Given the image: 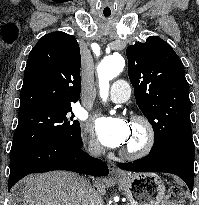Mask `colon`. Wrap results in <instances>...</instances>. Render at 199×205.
<instances>
[{
    "mask_svg": "<svg viewBox=\"0 0 199 205\" xmlns=\"http://www.w3.org/2000/svg\"><path fill=\"white\" fill-rule=\"evenodd\" d=\"M183 193L179 187H171L166 195L164 205H182Z\"/></svg>",
    "mask_w": 199,
    "mask_h": 205,
    "instance_id": "colon-1",
    "label": "colon"
}]
</instances>
